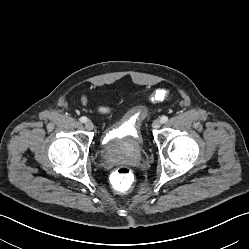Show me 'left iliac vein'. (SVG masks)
Masks as SVG:
<instances>
[{
	"label": "left iliac vein",
	"mask_w": 249,
	"mask_h": 249,
	"mask_svg": "<svg viewBox=\"0 0 249 249\" xmlns=\"http://www.w3.org/2000/svg\"><path fill=\"white\" fill-rule=\"evenodd\" d=\"M160 126H161V121L160 120H154L153 121V123H152V127L154 128V129H158V128H160Z\"/></svg>",
	"instance_id": "1"
}]
</instances>
